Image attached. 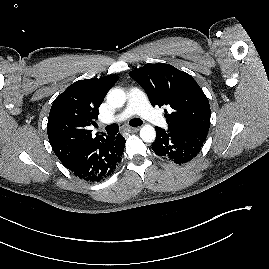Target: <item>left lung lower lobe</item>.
I'll return each mask as SVG.
<instances>
[{
    "mask_svg": "<svg viewBox=\"0 0 269 269\" xmlns=\"http://www.w3.org/2000/svg\"><path fill=\"white\" fill-rule=\"evenodd\" d=\"M157 137L152 150L158 156L178 164L186 163L200 152L207 137L206 132L165 131L156 127Z\"/></svg>",
    "mask_w": 269,
    "mask_h": 269,
    "instance_id": "0a47b994",
    "label": "left lung lower lobe"
}]
</instances>
